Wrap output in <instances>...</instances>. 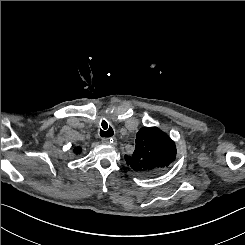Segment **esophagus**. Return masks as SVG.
<instances>
[{
    "label": "esophagus",
    "instance_id": "34e87169",
    "mask_svg": "<svg viewBox=\"0 0 245 245\" xmlns=\"http://www.w3.org/2000/svg\"><path fill=\"white\" fill-rule=\"evenodd\" d=\"M112 139H109V138H102L101 142L103 144H109L111 142Z\"/></svg>",
    "mask_w": 245,
    "mask_h": 245
}]
</instances>
